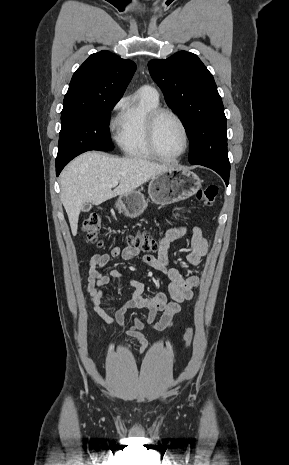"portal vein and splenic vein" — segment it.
Returning <instances> with one entry per match:
<instances>
[{"label":"portal vein and splenic vein","instance_id":"18ae733b","mask_svg":"<svg viewBox=\"0 0 289 465\" xmlns=\"http://www.w3.org/2000/svg\"><path fill=\"white\" fill-rule=\"evenodd\" d=\"M117 185H118V181H114V182L110 185V187H115V186H117Z\"/></svg>","mask_w":289,"mask_h":465}]
</instances>
